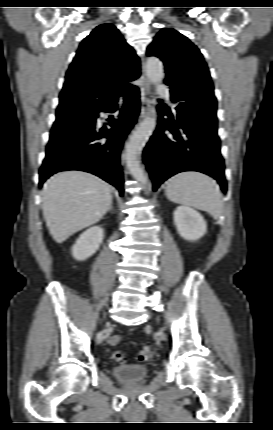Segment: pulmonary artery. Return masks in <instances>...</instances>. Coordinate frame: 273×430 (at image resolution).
<instances>
[{
    "mask_svg": "<svg viewBox=\"0 0 273 430\" xmlns=\"http://www.w3.org/2000/svg\"><path fill=\"white\" fill-rule=\"evenodd\" d=\"M158 94L162 97L169 98L170 92L164 85L158 86Z\"/></svg>",
    "mask_w": 273,
    "mask_h": 430,
    "instance_id": "1",
    "label": "pulmonary artery"
}]
</instances>
